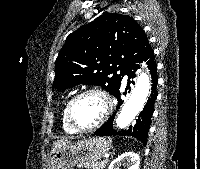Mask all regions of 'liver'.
<instances>
[{"label": "liver", "mask_w": 200, "mask_h": 169, "mask_svg": "<svg viewBox=\"0 0 200 169\" xmlns=\"http://www.w3.org/2000/svg\"><path fill=\"white\" fill-rule=\"evenodd\" d=\"M69 144H71V142L66 139L57 140L53 143L52 151L57 148H60L61 146H65V145H69Z\"/></svg>", "instance_id": "6515ba94"}]
</instances>
